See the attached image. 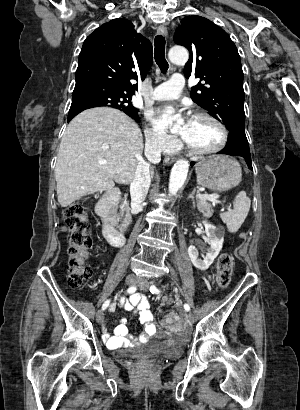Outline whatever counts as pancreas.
<instances>
[{"label": "pancreas", "instance_id": "cf45deb5", "mask_svg": "<svg viewBox=\"0 0 300 410\" xmlns=\"http://www.w3.org/2000/svg\"><path fill=\"white\" fill-rule=\"evenodd\" d=\"M198 210L203 214L204 217L210 218L213 215V210L211 205L203 199L197 201ZM121 216H124L123 224L121 226L122 229H125L130 221V214L127 212L124 214V210L121 212Z\"/></svg>", "mask_w": 300, "mask_h": 410}]
</instances>
